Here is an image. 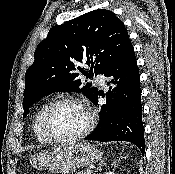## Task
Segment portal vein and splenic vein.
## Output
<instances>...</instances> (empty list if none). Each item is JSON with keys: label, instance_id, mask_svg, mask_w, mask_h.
Listing matches in <instances>:
<instances>
[{"label": "portal vein and splenic vein", "instance_id": "18ae733b", "mask_svg": "<svg viewBox=\"0 0 175 174\" xmlns=\"http://www.w3.org/2000/svg\"><path fill=\"white\" fill-rule=\"evenodd\" d=\"M87 174H92V170H87Z\"/></svg>", "mask_w": 175, "mask_h": 174}]
</instances>
